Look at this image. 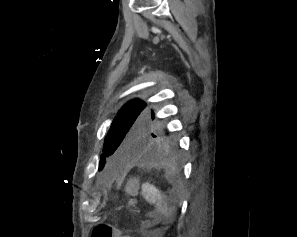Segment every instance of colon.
<instances>
[{"mask_svg": "<svg viewBox=\"0 0 297 237\" xmlns=\"http://www.w3.org/2000/svg\"><path fill=\"white\" fill-rule=\"evenodd\" d=\"M129 193L133 191V185L130 184L127 187ZM91 237H130L128 235H124L122 231L110 223H102L97 225L93 231Z\"/></svg>", "mask_w": 297, "mask_h": 237, "instance_id": "obj_1", "label": "colon"}]
</instances>
